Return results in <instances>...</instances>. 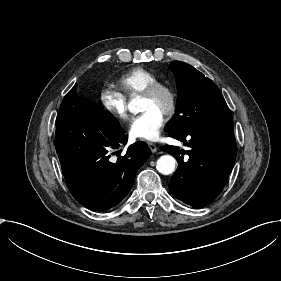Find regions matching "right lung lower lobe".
Returning <instances> with one entry per match:
<instances>
[{
	"instance_id": "right-lung-lower-lobe-1",
	"label": "right lung lower lobe",
	"mask_w": 281,
	"mask_h": 281,
	"mask_svg": "<svg viewBox=\"0 0 281 281\" xmlns=\"http://www.w3.org/2000/svg\"><path fill=\"white\" fill-rule=\"evenodd\" d=\"M77 84L64 97L57 118L55 147L66 184L85 207L105 211L131 190L137 170L151 151L145 142L131 145L113 160L110 151L125 145L128 135L118 120L96 103L79 97ZM120 155V153L118 154Z\"/></svg>"
}]
</instances>
